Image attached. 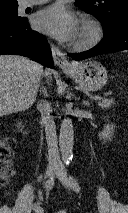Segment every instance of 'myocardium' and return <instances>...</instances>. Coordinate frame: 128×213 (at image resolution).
<instances>
[{
  "label": "myocardium",
  "instance_id": "f54148a6",
  "mask_svg": "<svg viewBox=\"0 0 128 213\" xmlns=\"http://www.w3.org/2000/svg\"><path fill=\"white\" fill-rule=\"evenodd\" d=\"M80 27L87 30V36L84 39L76 40L73 43V49L78 51L88 50L100 42L103 30L96 19L85 16L81 20Z\"/></svg>",
  "mask_w": 128,
  "mask_h": 213
}]
</instances>
